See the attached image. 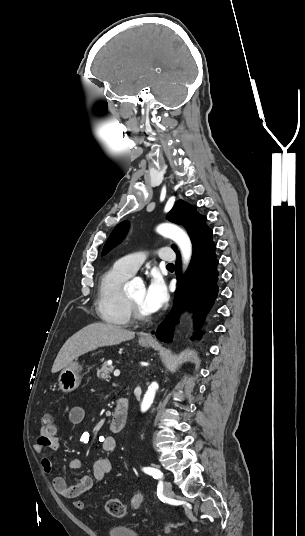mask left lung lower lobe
<instances>
[{"mask_svg":"<svg viewBox=\"0 0 305 536\" xmlns=\"http://www.w3.org/2000/svg\"><path fill=\"white\" fill-rule=\"evenodd\" d=\"M215 244L212 241V230L208 229L193 243V254L187 274L181 276V260L178 254L176 274L179 278L177 300L174 308L160 324L156 336L164 342L171 341V333L178 315L183 308L192 310L195 325L198 326L208 309L212 306L218 293V260L215 255ZM199 337L194 335L193 338Z\"/></svg>","mask_w":305,"mask_h":536,"instance_id":"left-lung-lower-lobe-1","label":"left lung lower lobe"}]
</instances>
